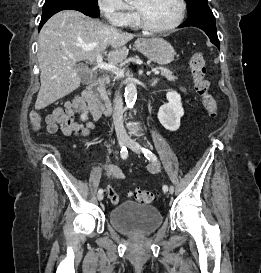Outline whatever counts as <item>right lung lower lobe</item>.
<instances>
[{
  "instance_id": "obj_1",
  "label": "right lung lower lobe",
  "mask_w": 261,
  "mask_h": 273,
  "mask_svg": "<svg viewBox=\"0 0 261 273\" xmlns=\"http://www.w3.org/2000/svg\"><path fill=\"white\" fill-rule=\"evenodd\" d=\"M70 9L77 10L85 15H88L90 17H99L100 13H95L94 11L90 10L85 3L82 0H71ZM52 15L42 16L39 29L43 26V24L51 17Z\"/></svg>"
}]
</instances>
